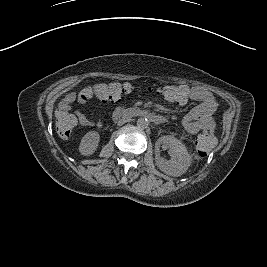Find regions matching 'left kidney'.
Returning a JSON list of instances; mask_svg holds the SVG:
<instances>
[{"instance_id":"1","label":"left kidney","mask_w":267,"mask_h":267,"mask_svg":"<svg viewBox=\"0 0 267 267\" xmlns=\"http://www.w3.org/2000/svg\"><path fill=\"white\" fill-rule=\"evenodd\" d=\"M169 149L170 159L167 160L157 155L155 157L156 166L165 174L173 177L183 175L191 165L192 158L186 146L173 136H161L155 144V148L159 150Z\"/></svg>"}]
</instances>
